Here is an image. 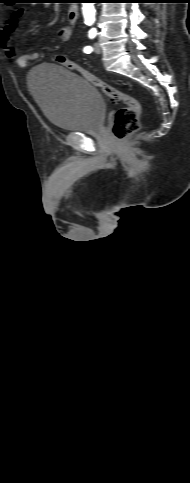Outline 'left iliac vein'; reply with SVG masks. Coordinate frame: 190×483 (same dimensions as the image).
<instances>
[{
    "label": "left iliac vein",
    "instance_id": "left-iliac-vein-1",
    "mask_svg": "<svg viewBox=\"0 0 190 483\" xmlns=\"http://www.w3.org/2000/svg\"><path fill=\"white\" fill-rule=\"evenodd\" d=\"M94 52L100 54L102 52L100 44L97 42L94 44Z\"/></svg>",
    "mask_w": 190,
    "mask_h": 483
}]
</instances>
